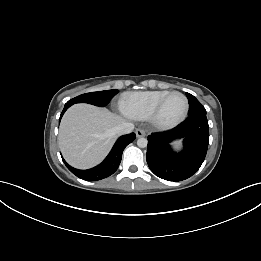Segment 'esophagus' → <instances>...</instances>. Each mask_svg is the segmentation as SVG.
Returning <instances> with one entry per match:
<instances>
[{
    "label": "esophagus",
    "instance_id": "34e87169",
    "mask_svg": "<svg viewBox=\"0 0 261 261\" xmlns=\"http://www.w3.org/2000/svg\"><path fill=\"white\" fill-rule=\"evenodd\" d=\"M135 133L137 138L144 137L146 135L145 131L142 129H137Z\"/></svg>",
    "mask_w": 261,
    "mask_h": 261
}]
</instances>
